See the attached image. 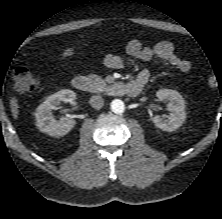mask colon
Returning <instances> with one entry per match:
<instances>
[{
    "instance_id": "1",
    "label": "colon",
    "mask_w": 222,
    "mask_h": 219,
    "mask_svg": "<svg viewBox=\"0 0 222 219\" xmlns=\"http://www.w3.org/2000/svg\"><path fill=\"white\" fill-rule=\"evenodd\" d=\"M14 88L17 92L28 93L38 89L39 81L31 74L26 67H18L13 73ZM209 87H216L218 80L216 77L210 76L207 80Z\"/></svg>"
}]
</instances>
